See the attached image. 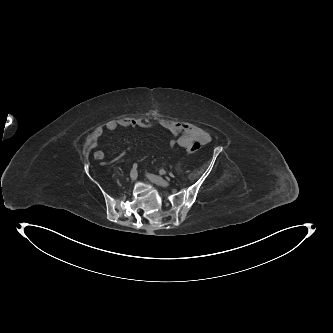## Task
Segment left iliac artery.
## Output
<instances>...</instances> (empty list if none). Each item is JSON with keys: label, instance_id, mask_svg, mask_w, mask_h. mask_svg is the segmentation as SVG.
<instances>
[{"label": "left iliac artery", "instance_id": "left-iliac-artery-1", "mask_svg": "<svg viewBox=\"0 0 333 333\" xmlns=\"http://www.w3.org/2000/svg\"><path fill=\"white\" fill-rule=\"evenodd\" d=\"M159 173H160L161 175H165V174H166V171H165L164 169H160V170H159Z\"/></svg>", "mask_w": 333, "mask_h": 333}]
</instances>
